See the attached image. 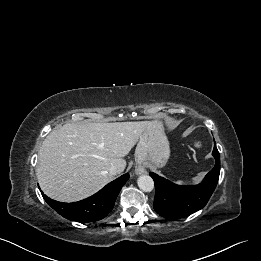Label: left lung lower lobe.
I'll return each instance as SVG.
<instances>
[{
  "instance_id": "left-lung-lower-lobe-1",
  "label": "left lung lower lobe",
  "mask_w": 261,
  "mask_h": 261,
  "mask_svg": "<svg viewBox=\"0 0 261 261\" xmlns=\"http://www.w3.org/2000/svg\"><path fill=\"white\" fill-rule=\"evenodd\" d=\"M214 168L203 182L194 186H179L155 173H150L155 183L154 210L168 219L189 216L202 209L211 197L217 185L220 173V156L214 144Z\"/></svg>"
}]
</instances>
